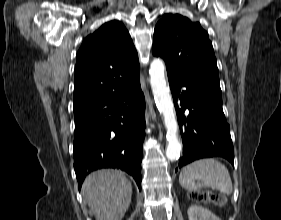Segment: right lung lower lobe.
Here are the masks:
<instances>
[{"label":"right lung lower lobe","instance_id":"1","mask_svg":"<svg viewBox=\"0 0 281 220\" xmlns=\"http://www.w3.org/2000/svg\"><path fill=\"white\" fill-rule=\"evenodd\" d=\"M74 169L79 189L87 174L118 168L141 189L145 100L139 79L129 88L74 111Z\"/></svg>","mask_w":281,"mask_h":220}]
</instances>
